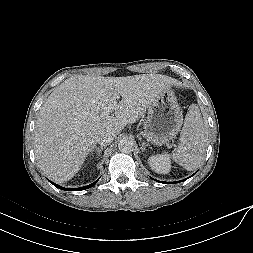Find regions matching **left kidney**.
Returning <instances> with one entry per match:
<instances>
[{
	"instance_id": "left-kidney-1",
	"label": "left kidney",
	"mask_w": 253,
	"mask_h": 253,
	"mask_svg": "<svg viewBox=\"0 0 253 253\" xmlns=\"http://www.w3.org/2000/svg\"><path fill=\"white\" fill-rule=\"evenodd\" d=\"M148 164L153 171L160 174H167L171 169L170 158L166 153L152 155L148 158Z\"/></svg>"
}]
</instances>
